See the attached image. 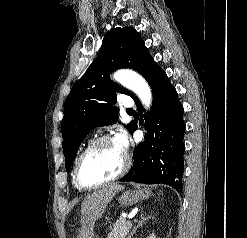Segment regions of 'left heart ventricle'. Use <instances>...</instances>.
<instances>
[{
	"label": "left heart ventricle",
	"instance_id": "obj_1",
	"mask_svg": "<svg viewBox=\"0 0 247 238\" xmlns=\"http://www.w3.org/2000/svg\"><path fill=\"white\" fill-rule=\"evenodd\" d=\"M124 163V151L115 141L101 144L82 162L80 176L85 184H95L118 173Z\"/></svg>",
	"mask_w": 247,
	"mask_h": 238
}]
</instances>
